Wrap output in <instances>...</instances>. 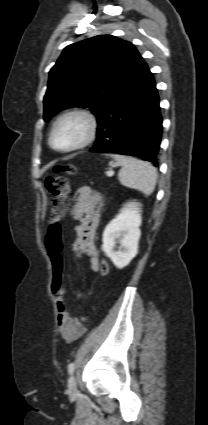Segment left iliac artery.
<instances>
[{"label":"left iliac artery","instance_id":"obj_1","mask_svg":"<svg viewBox=\"0 0 208 425\" xmlns=\"http://www.w3.org/2000/svg\"><path fill=\"white\" fill-rule=\"evenodd\" d=\"M74 370H75V364H74L73 362H71V363L68 365V373H69V374H73Z\"/></svg>","mask_w":208,"mask_h":425}]
</instances>
